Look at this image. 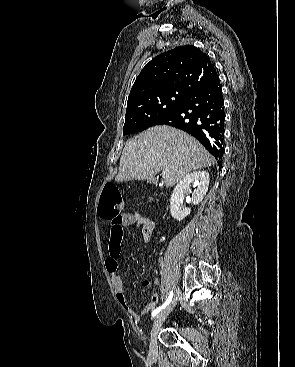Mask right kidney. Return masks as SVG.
<instances>
[{
  "label": "right kidney",
  "instance_id": "obj_1",
  "mask_svg": "<svg viewBox=\"0 0 295 367\" xmlns=\"http://www.w3.org/2000/svg\"><path fill=\"white\" fill-rule=\"evenodd\" d=\"M210 178L206 171H194L187 174L174 188L170 199V213L174 219L178 221L187 217L191 210L186 208L183 204L184 194L190 190V185L194 183L197 187L191 196V201L194 205H198L206 195L208 190Z\"/></svg>",
  "mask_w": 295,
  "mask_h": 367
}]
</instances>
